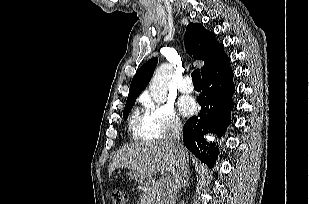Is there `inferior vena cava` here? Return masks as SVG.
Here are the masks:
<instances>
[{
    "instance_id": "602c4592",
    "label": "inferior vena cava",
    "mask_w": 309,
    "mask_h": 204,
    "mask_svg": "<svg viewBox=\"0 0 309 204\" xmlns=\"http://www.w3.org/2000/svg\"><path fill=\"white\" fill-rule=\"evenodd\" d=\"M181 131V122L174 121L165 139L174 150L177 161L175 169L172 172V179L166 186L162 204H174L178 191L185 185L186 179L188 178V155L180 143Z\"/></svg>"
}]
</instances>
